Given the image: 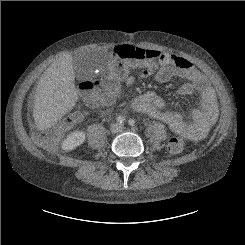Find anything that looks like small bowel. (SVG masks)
<instances>
[{"mask_svg":"<svg viewBox=\"0 0 245 245\" xmlns=\"http://www.w3.org/2000/svg\"><path fill=\"white\" fill-rule=\"evenodd\" d=\"M144 54L145 58L142 62L132 65L126 75L116 81L115 90L112 93L98 95L100 105L96 108L108 109L111 107L123 91L122 84L128 87L137 80L148 76L154 77L160 83H166L175 77L184 78L189 83L178 88L177 94L189 96L197 92L201 99L200 109L194 111L189 117L167 108L163 98L153 92H146L134 98L130 103V108L137 113L147 114L165 122L174 133L187 139L204 138L218 117L216 95L206 77L183 56L155 49H145ZM158 61H161L163 65L158 66ZM137 70L139 74L135 76L134 72ZM57 76L68 80L70 72L58 71ZM83 98L87 104L84 95Z\"/></svg>","mask_w":245,"mask_h":245,"instance_id":"1","label":"small bowel"}]
</instances>
